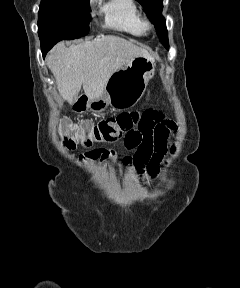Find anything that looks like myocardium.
I'll list each match as a JSON object with an SVG mask.
<instances>
[{
  "instance_id": "obj_1",
  "label": "myocardium",
  "mask_w": 240,
  "mask_h": 288,
  "mask_svg": "<svg viewBox=\"0 0 240 288\" xmlns=\"http://www.w3.org/2000/svg\"><path fill=\"white\" fill-rule=\"evenodd\" d=\"M142 28L144 32H149L153 29V23L149 19H142Z\"/></svg>"
}]
</instances>
